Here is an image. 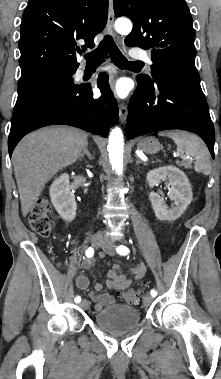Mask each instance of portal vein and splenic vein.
<instances>
[{"label": "portal vein and splenic vein", "mask_w": 221, "mask_h": 379, "mask_svg": "<svg viewBox=\"0 0 221 379\" xmlns=\"http://www.w3.org/2000/svg\"><path fill=\"white\" fill-rule=\"evenodd\" d=\"M181 158L183 159V158H185L184 156H181ZM187 158H189V157H187Z\"/></svg>", "instance_id": "obj_1"}]
</instances>
